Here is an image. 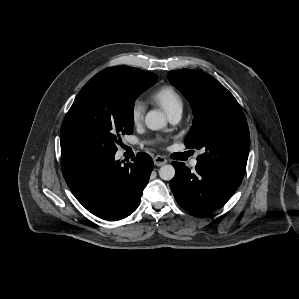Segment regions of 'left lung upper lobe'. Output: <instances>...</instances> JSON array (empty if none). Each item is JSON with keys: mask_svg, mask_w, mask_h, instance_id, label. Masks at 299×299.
<instances>
[{"mask_svg": "<svg viewBox=\"0 0 299 299\" xmlns=\"http://www.w3.org/2000/svg\"><path fill=\"white\" fill-rule=\"evenodd\" d=\"M168 79L189 101L193 125L187 148L202 149L197 162L243 175L250 135L244 113L234 96L217 80L198 70L169 71Z\"/></svg>", "mask_w": 299, "mask_h": 299, "instance_id": "1", "label": "left lung upper lobe"}]
</instances>
